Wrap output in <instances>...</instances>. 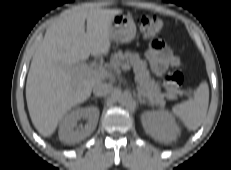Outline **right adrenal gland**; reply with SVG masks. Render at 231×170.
Wrapping results in <instances>:
<instances>
[{"label":"right adrenal gland","instance_id":"2a0ac1e0","mask_svg":"<svg viewBox=\"0 0 231 170\" xmlns=\"http://www.w3.org/2000/svg\"><path fill=\"white\" fill-rule=\"evenodd\" d=\"M96 98H97V96H94V97H93V99H96Z\"/></svg>","mask_w":231,"mask_h":170}]
</instances>
